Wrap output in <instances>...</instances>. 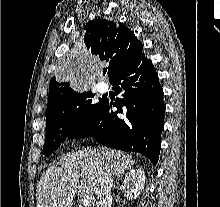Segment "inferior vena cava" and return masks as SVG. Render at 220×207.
<instances>
[{"instance_id": "1", "label": "inferior vena cava", "mask_w": 220, "mask_h": 207, "mask_svg": "<svg viewBox=\"0 0 220 207\" xmlns=\"http://www.w3.org/2000/svg\"><path fill=\"white\" fill-rule=\"evenodd\" d=\"M113 186V179L111 175L104 174L99 183V188L96 192L97 202L96 207H111L112 196L111 188Z\"/></svg>"}]
</instances>
